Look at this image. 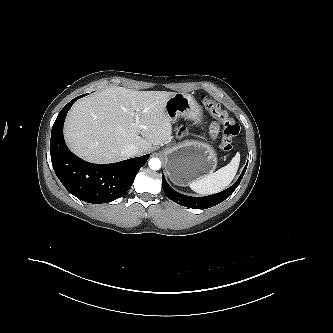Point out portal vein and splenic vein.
I'll return each mask as SVG.
<instances>
[{
  "mask_svg": "<svg viewBox=\"0 0 333 333\" xmlns=\"http://www.w3.org/2000/svg\"><path fill=\"white\" fill-rule=\"evenodd\" d=\"M136 123H139L138 116L136 115Z\"/></svg>",
  "mask_w": 333,
  "mask_h": 333,
  "instance_id": "portal-vein-and-splenic-vein-1",
  "label": "portal vein and splenic vein"
}]
</instances>
